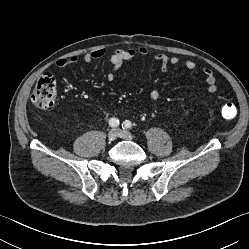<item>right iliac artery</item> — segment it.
Returning a JSON list of instances; mask_svg holds the SVG:
<instances>
[{"label": "right iliac artery", "instance_id": "right-iliac-artery-1", "mask_svg": "<svg viewBox=\"0 0 249 249\" xmlns=\"http://www.w3.org/2000/svg\"><path fill=\"white\" fill-rule=\"evenodd\" d=\"M109 125L111 127H117L119 125V120L117 118L113 117L109 120Z\"/></svg>", "mask_w": 249, "mask_h": 249}]
</instances>
